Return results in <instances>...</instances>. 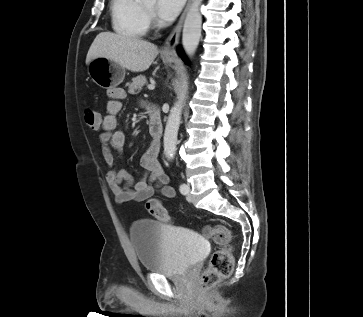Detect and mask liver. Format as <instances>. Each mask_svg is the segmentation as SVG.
Instances as JSON below:
<instances>
[{"label":"liver","mask_w":363,"mask_h":317,"mask_svg":"<svg viewBox=\"0 0 363 317\" xmlns=\"http://www.w3.org/2000/svg\"><path fill=\"white\" fill-rule=\"evenodd\" d=\"M158 53L156 45L140 38L101 32L89 48L86 64L105 57L132 72H142L150 67Z\"/></svg>","instance_id":"1"}]
</instances>
